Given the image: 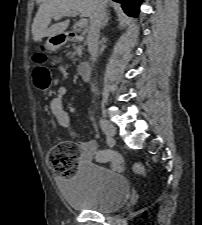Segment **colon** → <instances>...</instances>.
Segmentation results:
<instances>
[{"label":"colon","mask_w":202,"mask_h":225,"mask_svg":"<svg viewBox=\"0 0 202 225\" xmlns=\"http://www.w3.org/2000/svg\"><path fill=\"white\" fill-rule=\"evenodd\" d=\"M47 59V56L41 53L37 56L38 63L33 75L35 85L40 90L47 88L49 84L50 70L45 65ZM79 154L77 144L72 141H66L51 147L47 151V162L57 176L68 178L76 172ZM104 161L110 162L112 168L116 171L124 169V160L116 152L105 153ZM134 171L142 176L147 172L145 165L141 162L134 164Z\"/></svg>","instance_id":"5ec220e1"}]
</instances>
